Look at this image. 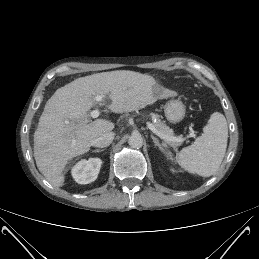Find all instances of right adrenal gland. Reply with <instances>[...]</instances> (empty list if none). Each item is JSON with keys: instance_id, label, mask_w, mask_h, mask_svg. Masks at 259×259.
Masks as SVG:
<instances>
[{"instance_id": "right-adrenal-gland-1", "label": "right adrenal gland", "mask_w": 259, "mask_h": 259, "mask_svg": "<svg viewBox=\"0 0 259 259\" xmlns=\"http://www.w3.org/2000/svg\"><path fill=\"white\" fill-rule=\"evenodd\" d=\"M103 151H104V149H96V150H93L92 152L99 153V152H103Z\"/></svg>"}]
</instances>
